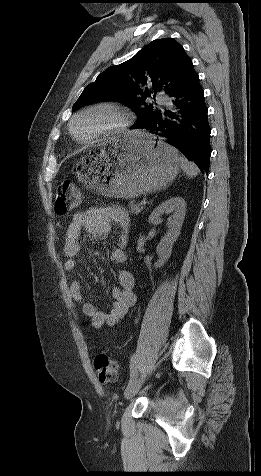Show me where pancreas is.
Masks as SVG:
<instances>
[{"label": "pancreas", "instance_id": "1", "mask_svg": "<svg viewBox=\"0 0 261 476\" xmlns=\"http://www.w3.org/2000/svg\"><path fill=\"white\" fill-rule=\"evenodd\" d=\"M128 208L131 214L138 215L143 210V205L135 201H130L128 203Z\"/></svg>", "mask_w": 261, "mask_h": 476}]
</instances>
